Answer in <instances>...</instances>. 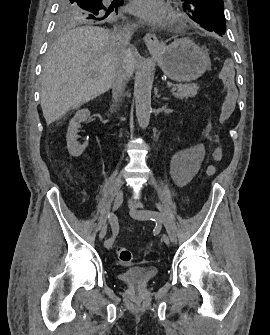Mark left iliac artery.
Listing matches in <instances>:
<instances>
[{
	"instance_id": "left-iliac-artery-1",
	"label": "left iliac artery",
	"mask_w": 270,
	"mask_h": 335,
	"mask_svg": "<svg viewBox=\"0 0 270 335\" xmlns=\"http://www.w3.org/2000/svg\"><path fill=\"white\" fill-rule=\"evenodd\" d=\"M143 214L146 217L150 218L151 220H153L155 222L163 223L171 241L173 243L177 242V237H176V233H175V226L164 215H162L161 213H159L157 211H152V210H145L143 212Z\"/></svg>"
}]
</instances>
